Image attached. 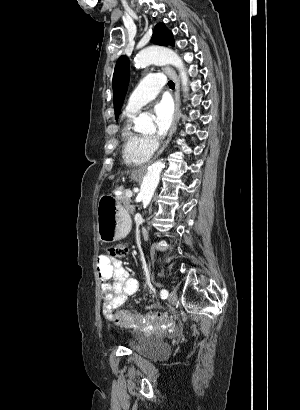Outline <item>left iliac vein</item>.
Masks as SVG:
<instances>
[{
  "label": "left iliac vein",
  "instance_id": "obj_1",
  "mask_svg": "<svg viewBox=\"0 0 300 410\" xmlns=\"http://www.w3.org/2000/svg\"><path fill=\"white\" fill-rule=\"evenodd\" d=\"M168 301L170 304H175L177 302V294L174 291L169 293Z\"/></svg>",
  "mask_w": 300,
  "mask_h": 410
}]
</instances>
